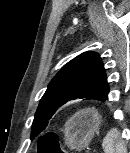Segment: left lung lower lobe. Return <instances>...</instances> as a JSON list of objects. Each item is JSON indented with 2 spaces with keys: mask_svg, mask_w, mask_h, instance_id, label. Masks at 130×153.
<instances>
[{
  "mask_svg": "<svg viewBox=\"0 0 130 153\" xmlns=\"http://www.w3.org/2000/svg\"><path fill=\"white\" fill-rule=\"evenodd\" d=\"M108 92H109V87H108V90L106 91V93L104 94V96L101 98L100 101H105L108 99Z\"/></svg>",
  "mask_w": 130,
  "mask_h": 153,
  "instance_id": "obj_1",
  "label": "left lung lower lobe"
}]
</instances>
